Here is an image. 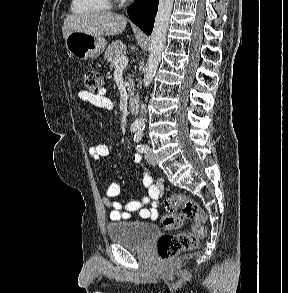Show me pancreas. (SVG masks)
Masks as SVG:
<instances>
[{"label": "pancreas", "mask_w": 288, "mask_h": 293, "mask_svg": "<svg viewBox=\"0 0 288 293\" xmlns=\"http://www.w3.org/2000/svg\"><path fill=\"white\" fill-rule=\"evenodd\" d=\"M126 53V45L121 40H116L109 45L105 51L104 58L107 59V61L110 64V69L115 68V61L117 58L125 55ZM128 81L130 85L128 86V93L129 96L133 94V81L131 77L128 78Z\"/></svg>", "instance_id": "obj_1"}]
</instances>
